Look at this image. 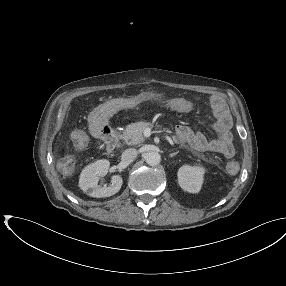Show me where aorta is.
<instances>
[{
    "mask_svg": "<svg viewBox=\"0 0 286 286\" xmlns=\"http://www.w3.org/2000/svg\"><path fill=\"white\" fill-rule=\"evenodd\" d=\"M146 163L150 166H157L161 161V156L156 151H150L145 155Z\"/></svg>",
    "mask_w": 286,
    "mask_h": 286,
    "instance_id": "762f6f07",
    "label": "aorta"
}]
</instances>
